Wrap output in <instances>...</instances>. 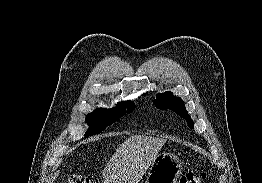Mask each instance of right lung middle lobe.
Here are the masks:
<instances>
[{"label":"right lung middle lobe","mask_w":262,"mask_h":183,"mask_svg":"<svg viewBox=\"0 0 262 183\" xmlns=\"http://www.w3.org/2000/svg\"><path fill=\"white\" fill-rule=\"evenodd\" d=\"M135 105L131 102H122L117 105V108L106 110L99 109L94 113L88 114L86 117L87 123L90 125L86 136L91 134L101 133L107 126L114 123L119 117L134 110ZM127 109V111H125Z\"/></svg>","instance_id":"1"}]
</instances>
